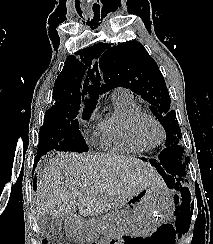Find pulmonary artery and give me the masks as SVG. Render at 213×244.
Listing matches in <instances>:
<instances>
[{
  "mask_svg": "<svg viewBox=\"0 0 213 244\" xmlns=\"http://www.w3.org/2000/svg\"><path fill=\"white\" fill-rule=\"evenodd\" d=\"M111 96L112 97H116V96L131 97V94H130L128 89L122 88V87H118V88H115L112 91Z\"/></svg>",
  "mask_w": 213,
  "mask_h": 244,
  "instance_id": "1",
  "label": "pulmonary artery"
}]
</instances>
